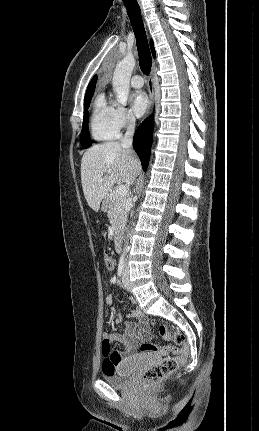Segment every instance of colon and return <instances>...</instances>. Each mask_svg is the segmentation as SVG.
Wrapping results in <instances>:
<instances>
[{
	"label": "colon",
	"mask_w": 259,
	"mask_h": 431,
	"mask_svg": "<svg viewBox=\"0 0 259 431\" xmlns=\"http://www.w3.org/2000/svg\"><path fill=\"white\" fill-rule=\"evenodd\" d=\"M114 260L106 255L105 266L108 271L114 269ZM158 332L160 336L165 340H172L178 347H160L153 343H143L140 346V350L144 353H160L165 357L156 365L147 369L142 377V382L145 386H152L157 384L174 372L186 362L189 354V346L186 342L185 336L180 331H177L167 324H160L158 326ZM111 351V343L108 341H102V353L103 355L109 354ZM114 371L111 367L106 366L104 372Z\"/></svg>",
	"instance_id": "1"
}]
</instances>
